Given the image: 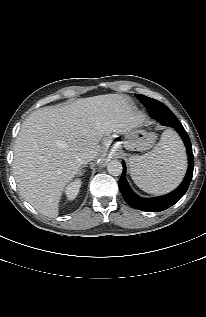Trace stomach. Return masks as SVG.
<instances>
[{
    "instance_id": "1",
    "label": "stomach",
    "mask_w": 206,
    "mask_h": 317,
    "mask_svg": "<svg viewBox=\"0 0 206 317\" xmlns=\"http://www.w3.org/2000/svg\"><path fill=\"white\" fill-rule=\"evenodd\" d=\"M124 146L128 150L144 151L151 147L152 135L143 129L133 128L125 134Z\"/></svg>"
}]
</instances>
